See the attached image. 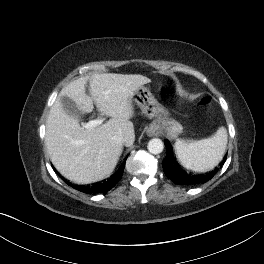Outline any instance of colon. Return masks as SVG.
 Masks as SVG:
<instances>
[{
  "instance_id": "colon-1",
  "label": "colon",
  "mask_w": 264,
  "mask_h": 264,
  "mask_svg": "<svg viewBox=\"0 0 264 264\" xmlns=\"http://www.w3.org/2000/svg\"><path fill=\"white\" fill-rule=\"evenodd\" d=\"M211 102V97L206 95L200 100L201 105H208Z\"/></svg>"
}]
</instances>
